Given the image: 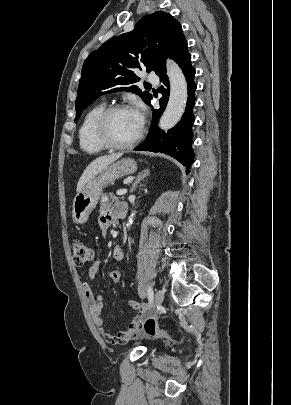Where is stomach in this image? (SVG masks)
<instances>
[{
	"instance_id": "stomach-1",
	"label": "stomach",
	"mask_w": 291,
	"mask_h": 405,
	"mask_svg": "<svg viewBox=\"0 0 291 405\" xmlns=\"http://www.w3.org/2000/svg\"><path fill=\"white\" fill-rule=\"evenodd\" d=\"M136 170V162L129 158L121 159L102 170L75 196L72 210L73 221L76 224L85 223L92 210L96 207L103 188L114 183L118 178L133 174Z\"/></svg>"
}]
</instances>
